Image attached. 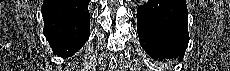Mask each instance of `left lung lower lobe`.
I'll use <instances>...</instances> for the list:
<instances>
[{"instance_id": "obj_1", "label": "left lung lower lobe", "mask_w": 230, "mask_h": 71, "mask_svg": "<svg viewBox=\"0 0 230 71\" xmlns=\"http://www.w3.org/2000/svg\"><path fill=\"white\" fill-rule=\"evenodd\" d=\"M186 0H148L137 10L140 45L154 60L182 59L189 42Z\"/></svg>"}]
</instances>
